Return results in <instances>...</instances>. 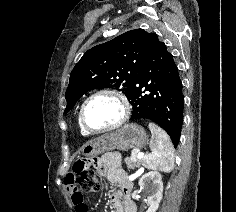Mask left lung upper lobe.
Returning <instances> with one entry per match:
<instances>
[{
  "label": "left lung upper lobe",
  "mask_w": 236,
  "mask_h": 212,
  "mask_svg": "<svg viewBox=\"0 0 236 212\" xmlns=\"http://www.w3.org/2000/svg\"><path fill=\"white\" fill-rule=\"evenodd\" d=\"M151 35L143 29L130 30L85 52L70 73L64 113L92 89H118L128 98Z\"/></svg>",
  "instance_id": "5c2ea615"
}]
</instances>
